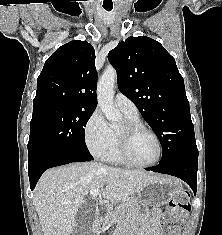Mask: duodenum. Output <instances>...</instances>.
I'll return each mask as SVG.
<instances>
[{"label":"duodenum","instance_id":"obj_1","mask_svg":"<svg viewBox=\"0 0 222 235\" xmlns=\"http://www.w3.org/2000/svg\"><path fill=\"white\" fill-rule=\"evenodd\" d=\"M101 212V208L99 206L96 207V216H99Z\"/></svg>","mask_w":222,"mask_h":235}]
</instances>
